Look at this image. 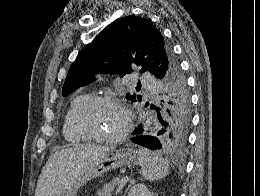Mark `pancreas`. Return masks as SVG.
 Returning a JSON list of instances; mask_svg holds the SVG:
<instances>
[{
  "label": "pancreas",
  "mask_w": 260,
  "mask_h": 196,
  "mask_svg": "<svg viewBox=\"0 0 260 196\" xmlns=\"http://www.w3.org/2000/svg\"><path fill=\"white\" fill-rule=\"evenodd\" d=\"M120 178H114L111 180L109 184H104L101 190H98L97 196H112V192H114L115 188L119 186Z\"/></svg>",
  "instance_id": "obj_1"
}]
</instances>
